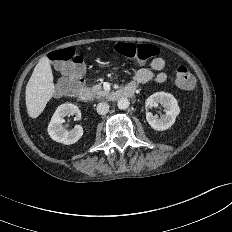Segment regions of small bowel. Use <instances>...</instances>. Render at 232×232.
<instances>
[{
	"instance_id": "c3829d8e",
	"label": "small bowel",
	"mask_w": 232,
	"mask_h": 232,
	"mask_svg": "<svg viewBox=\"0 0 232 232\" xmlns=\"http://www.w3.org/2000/svg\"><path fill=\"white\" fill-rule=\"evenodd\" d=\"M164 67L165 60L162 57L154 58L151 61L149 68H141L135 73L129 86L136 88L137 85L145 84L152 80L157 83L165 82L167 79V75L163 71Z\"/></svg>"
}]
</instances>
